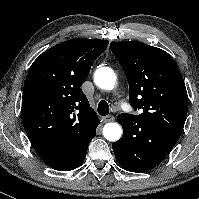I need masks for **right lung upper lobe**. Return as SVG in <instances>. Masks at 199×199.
Segmentation results:
<instances>
[{"label": "right lung upper lobe", "mask_w": 199, "mask_h": 199, "mask_svg": "<svg viewBox=\"0 0 199 199\" xmlns=\"http://www.w3.org/2000/svg\"><path fill=\"white\" fill-rule=\"evenodd\" d=\"M107 46V40H68L31 65L23 88L22 122L40 158L64 160L70 146L96 131L98 116L80 87Z\"/></svg>", "instance_id": "cb5924a9"}]
</instances>
